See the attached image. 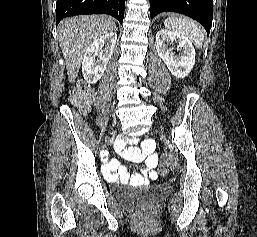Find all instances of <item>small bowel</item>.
Returning <instances> with one entry per match:
<instances>
[{"label":"small bowel","mask_w":257,"mask_h":237,"mask_svg":"<svg viewBox=\"0 0 257 237\" xmlns=\"http://www.w3.org/2000/svg\"><path fill=\"white\" fill-rule=\"evenodd\" d=\"M129 141L138 143L139 139L131 138ZM116 148L130 160L144 161L145 167L140 174H132L124 166L119 165L117 160L112 159L106 162L103 167V174L108 180L127 184L130 182L142 183L156 177L155 169L158 165V158L154 153L155 144L152 139L143 140L140 148H124L123 143L117 144Z\"/></svg>","instance_id":"c3829d8e"}]
</instances>
